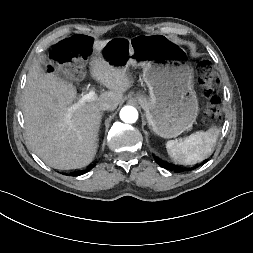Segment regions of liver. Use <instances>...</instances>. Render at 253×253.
Listing matches in <instances>:
<instances>
[{"mask_svg":"<svg viewBox=\"0 0 253 253\" xmlns=\"http://www.w3.org/2000/svg\"><path fill=\"white\" fill-rule=\"evenodd\" d=\"M107 42L95 40L92 45L91 76L109 89L95 100L79 103L76 87L45 73L38 62L29 70L23 97L25 133L33 152L50 167L69 170L88 166L98 149L100 104L107 101L116 108L132 86L126 69L110 65L101 56Z\"/></svg>","mask_w":253,"mask_h":253,"instance_id":"obj_1","label":"liver"}]
</instances>
